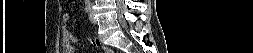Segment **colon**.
<instances>
[{
  "mask_svg": "<svg viewBox=\"0 0 253 53\" xmlns=\"http://www.w3.org/2000/svg\"><path fill=\"white\" fill-rule=\"evenodd\" d=\"M89 42H90V44H91L92 46H94V47H101V46H102L101 42H100L99 39H97V38L90 39ZM104 50H105V52H107V53H112V51H111L109 48H106V47H105Z\"/></svg>",
  "mask_w": 253,
  "mask_h": 53,
  "instance_id": "colon-1",
  "label": "colon"
}]
</instances>
